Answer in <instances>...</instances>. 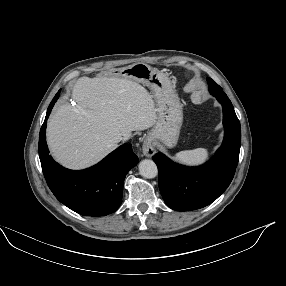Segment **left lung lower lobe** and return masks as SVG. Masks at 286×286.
Returning <instances> with one entry per match:
<instances>
[{"label": "left lung lower lobe", "instance_id": "1", "mask_svg": "<svg viewBox=\"0 0 286 286\" xmlns=\"http://www.w3.org/2000/svg\"><path fill=\"white\" fill-rule=\"evenodd\" d=\"M223 107L224 141L215 156L199 167H185L161 153L152 159L159 172V189L165 203L177 211L205 207L229 186L239 160L240 122L227 96L217 98Z\"/></svg>", "mask_w": 286, "mask_h": 286}]
</instances>
